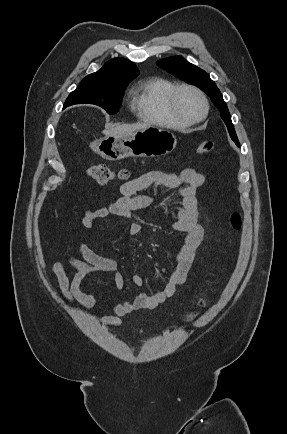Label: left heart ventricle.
<instances>
[{"instance_id": "obj_1", "label": "left heart ventricle", "mask_w": 287, "mask_h": 434, "mask_svg": "<svg viewBox=\"0 0 287 434\" xmlns=\"http://www.w3.org/2000/svg\"><path fill=\"white\" fill-rule=\"evenodd\" d=\"M177 106L180 113L187 119L198 118L203 112L200 98L189 90H184L179 94Z\"/></svg>"}]
</instances>
